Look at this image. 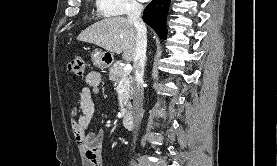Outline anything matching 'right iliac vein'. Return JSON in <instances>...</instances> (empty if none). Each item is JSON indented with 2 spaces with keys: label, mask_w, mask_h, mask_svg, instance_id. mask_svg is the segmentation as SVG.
I'll use <instances>...</instances> for the list:
<instances>
[{
  "label": "right iliac vein",
  "mask_w": 277,
  "mask_h": 166,
  "mask_svg": "<svg viewBox=\"0 0 277 166\" xmlns=\"http://www.w3.org/2000/svg\"><path fill=\"white\" fill-rule=\"evenodd\" d=\"M131 166H137V164L136 163H132Z\"/></svg>",
  "instance_id": "right-iliac-vein-1"
}]
</instances>
